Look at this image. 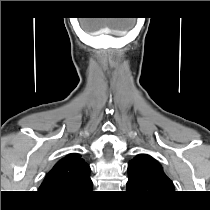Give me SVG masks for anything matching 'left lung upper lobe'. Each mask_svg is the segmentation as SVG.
<instances>
[{
    "mask_svg": "<svg viewBox=\"0 0 210 210\" xmlns=\"http://www.w3.org/2000/svg\"><path fill=\"white\" fill-rule=\"evenodd\" d=\"M128 190H138L149 196H163L174 192L172 181L157 160L138 154L128 164Z\"/></svg>",
    "mask_w": 210,
    "mask_h": 210,
    "instance_id": "1",
    "label": "left lung upper lobe"
}]
</instances>
